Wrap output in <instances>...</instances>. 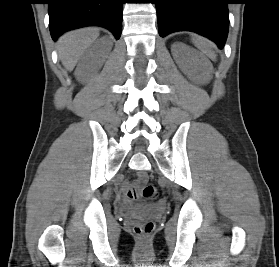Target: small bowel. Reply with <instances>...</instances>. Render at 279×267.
<instances>
[{
	"label": "small bowel",
	"instance_id": "small-bowel-1",
	"mask_svg": "<svg viewBox=\"0 0 279 267\" xmlns=\"http://www.w3.org/2000/svg\"><path fill=\"white\" fill-rule=\"evenodd\" d=\"M137 183L132 186L125 185L124 189L126 190V195L129 199H134V201H140V196H138L137 192H133L137 188Z\"/></svg>",
	"mask_w": 279,
	"mask_h": 267
}]
</instances>
